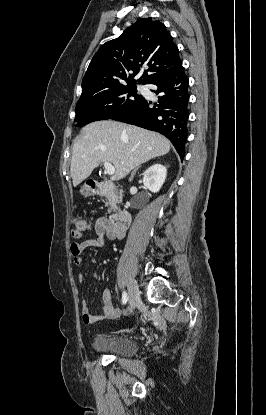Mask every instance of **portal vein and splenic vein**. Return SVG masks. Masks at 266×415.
Masks as SVG:
<instances>
[{
  "mask_svg": "<svg viewBox=\"0 0 266 415\" xmlns=\"http://www.w3.org/2000/svg\"><path fill=\"white\" fill-rule=\"evenodd\" d=\"M104 167H105V171H106L107 174L113 175L115 173V168L111 163L105 161L104 162Z\"/></svg>",
  "mask_w": 266,
  "mask_h": 415,
  "instance_id": "1",
  "label": "portal vein and splenic vein"
}]
</instances>
